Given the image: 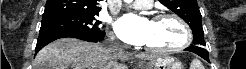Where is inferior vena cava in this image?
Segmentation results:
<instances>
[{
	"instance_id": "1",
	"label": "inferior vena cava",
	"mask_w": 246,
	"mask_h": 69,
	"mask_svg": "<svg viewBox=\"0 0 246 69\" xmlns=\"http://www.w3.org/2000/svg\"><path fill=\"white\" fill-rule=\"evenodd\" d=\"M108 43H109L108 47H110V48H112L114 50H122V47L117 45V44H115V43H113V41H109Z\"/></svg>"
}]
</instances>
